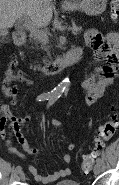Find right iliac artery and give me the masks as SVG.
Masks as SVG:
<instances>
[{
  "instance_id": "obj_1",
  "label": "right iliac artery",
  "mask_w": 119,
  "mask_h": 185,
  "mask_svg": "<svg viewBox=\"0 0 119 185\" xmlns=\"http://www.w3.org/2000/svg\"><path fill=\"white\" fill-rule=\"evenodd\" d=\"M57 97H58V94H56V93H44V94L39 95V96L36 98V100L39 101V102H41V101H45V100H51V99L57 98ZM21 169H22L21 166L18 165V166L16 167L15 171H16L17 173H19V172L21 171Z\"/></svg>"
}]
</instances>
